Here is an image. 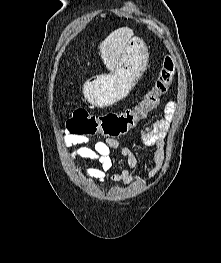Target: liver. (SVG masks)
<instances>
[{
    "label": "liver",
    "instance_id": "6515ba94",
    "mask_svg": "<svg viewBox=\"0 0 221 263\" xmlns=\"http://www.w3.org/2000/svg\"><path fill=\"white\" fill-rule=\"evenodd\" d=\"M132 36L133 30L128 27H122L111 32L100 43L99 54L108 70H113L117 66Z\"/></svg>",
    "mask_w": 221,
    "mask_h": 263
}]
</instances>
